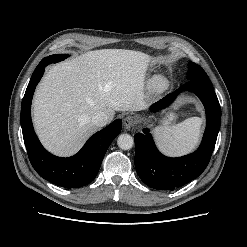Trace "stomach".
I'll use <instances>...</instances> for the list:
<instances>
[{
	"mask_svg": "<svg viewBox=\"0 0 247 247\" xmlns=\"http://www.w3.org/2000/svg\"><path fill=\"white\" fill-rule=\"evenodd\" d=\"M174 120H175L174 114L173 113H169L165 117H163L161 122H162L163 126H169L174 122Z\"/></svg>",
	"mask_w": 247,
	"mask_h": 247,
	"instance_id": "stomach-1",
	"label": "stomach"
}]
</instances>
